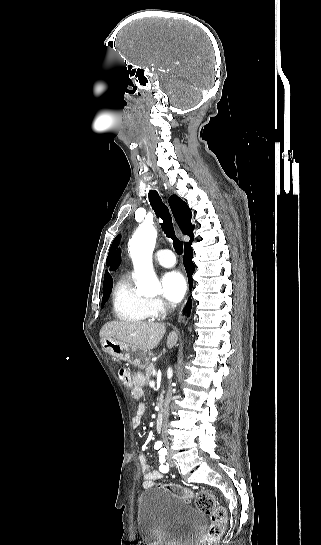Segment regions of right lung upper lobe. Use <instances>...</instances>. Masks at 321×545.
<instances>
[{
    "mask_svg": "<svg viewBox=\"0 0 321 545\" xmlns=\"http://www.w3.org/2000/svg\"><path fill=\"white\" fill-rule=\"evenodd\" d=\"M169 205H170V208L172 210V214H173V216H174L180 230L182 231V233L186 234V235H189V236L193 235L194 225H192V223H191L192 212L189 209L188 205L176 195H172L169 198ZM119 241H120V236H117L114 239V241H113V243L111 245V248L109 250V254H108V257H107V261H106V264L108 266H109V264H110V262H111V260H112V258L114 256V252H115L116 247L119 244ZM112 284H113L112 278L106 272L105 276H104L103 289L112 287Z\"/></svg>",
    "mask_w": 321,
    "mask_h": 545,
    "instance_id": "cb5924a9",
    "label": "right lung upper lobe"
}]
</instances>
